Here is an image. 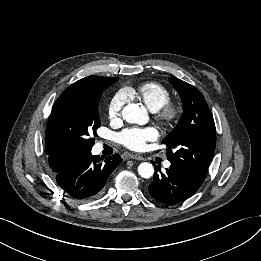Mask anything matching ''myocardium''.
I'll return each mask as SVG.
<instances>
[{
  "mask_svg": "<svg viewBox=\"0 0 261 261\" xmlns=\"http://www.w3.org/2000/svg\"><path fill=\"white\" fill-rule=\"evenodd\" d=\"M179 114L178 104L169 99L158 111L154 112V118L161 126L169 128L178 121Z\"/></svg>",
  "mask_w": 261,
  "mask_h": 261,
  "instance_id": "obj_1",
  "label": "myocardium"
}]
</instances>
